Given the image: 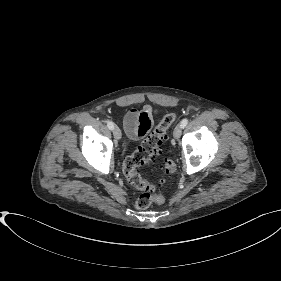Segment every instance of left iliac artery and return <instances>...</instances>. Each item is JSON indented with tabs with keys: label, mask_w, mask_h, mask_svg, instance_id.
<instances>
[{
	"label": "left iliac artery",
	"mask_w": 281,
	"mask_h": 281,
	"mask_svg": "<svg viewBox=\"0 0 281 281\" xmlns=\"http://www.w3.org/2000/svg\"><path fill=\"white\" fill-rule=\"evenodd\" d=\"M180 124L184 128L188 124V119H183Z\"/></svg>",
	"instance_id": "1"
}]
</instances>
